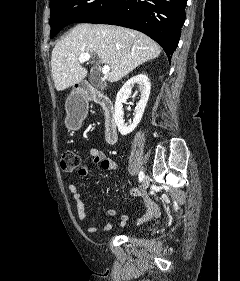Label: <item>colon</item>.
Returning a JSON list of instances; mask_svg holds the SVG:
<instances>
[{
	"instance_id": "5ec220e1",
	"label": "colon",
	"mask_w": 240,
	"mask_h": 281,
	"mask_svg": "<svg viewBox=\"0 0 240 281\" xmlns=\"http://www.w3.org/2000/svg\"><path fill=\"white\" fill-rule=\"evenodd\" d=\"M60 164L64 171L72 172L80 166V156L74 150H67L63 153Z\"/></svg>"
}]
</instances>
